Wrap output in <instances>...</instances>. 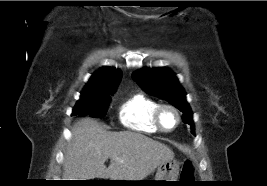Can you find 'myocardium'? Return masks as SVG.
<instances>
[{
    "label": "myocardium",
    "instance_id": "1",
    "mask_svg": "<svg viewBox=\"0 0 267 186\" xmlns=\"http://www.w3.org/2000/svg\"><path fill=\"white\" fill-rule=\"evenodd\" d=\"M166 109L172 110L176 115V123L170 129H166L162 124V113ZM153 121H154V124L156 125V127L158 128L159 131L164 132V133H169V132L174 131L179 126V124L181 122V114H180L179 110L174 105L159 104L154 111Z\"/></svg>",
    "mask_w": 267,
    "mask_h": 186
}]
</instances>
